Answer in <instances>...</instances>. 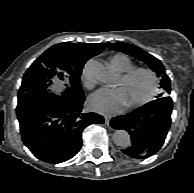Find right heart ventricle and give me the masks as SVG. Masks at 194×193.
<instances>
[{
    "mask_svg": "<svg viewBox=\"0 0 194 193\" xmlns=\"http://www.w3.org/2000/svg\"><path fill=\"white\" fill-rule=\"evenodd\" d=\"M109 62L110 65L119 73H125L134 67L133 62L124 54L113 55Z\"/></svg>",
    "mask_w": 194,
    "mask_h": 193,
    "instance_id": "obj_1",
    "label": "right heart ventricle"
}]
</instances>
